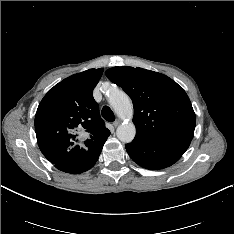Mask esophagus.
<instances>
[{
    "instance_id": "obj_1",
    "label": "esophagus",
    "mask_w": 234,
    "mask_h": 234,
    "mask_svg": "<svg viewBox=\"0 0 234 234\" xmlns=\"http://www.w3.org/2000/svg\"><path fill=\"white\" fill-rule=\"evenodd\" d=\"M119 124H120V120H119V119H116V120L113 122V126H114V127H117Z\"/></svg>"
}]
</instances>
